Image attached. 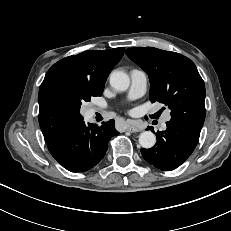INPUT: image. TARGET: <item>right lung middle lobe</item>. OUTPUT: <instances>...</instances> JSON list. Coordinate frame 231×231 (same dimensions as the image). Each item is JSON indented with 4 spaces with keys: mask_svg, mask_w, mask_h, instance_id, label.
Instances as JSON below:
<instances>
[{
    "mask_svg": "<svg viewBox=\"0 0 231 231\" xmlns=\"http://www.w3.org/2000/svg\"><path fill=\"white\" fill-rule=\"evenodd\" d=\"M102 92L103 89L93 90L88 87H78L68 95L67 100L70 105L79 113L82 102L90 101L91 97L93 96H101Z\"/></svg>",
    "mask_w": 231,
    "mask_h": 231,
    "instance_id": "obj_1",
    "label": "right lung middle lobe"
}]
</instances>
